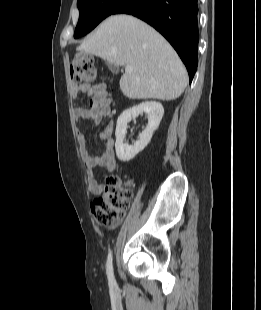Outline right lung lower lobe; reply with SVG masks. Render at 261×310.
<instances>
[{
	"label": "right lung lower lobe",
	"instance_id": "right-lung-lower-lobe-1",
	"mask_svg": "<svg viewBox=\"0 0 261 310\" xmlns=\"http://www.w3.org/2000/svg\"><path fill=\"white\" fill-rule=\"evenodd\" d=\"M197 0H126L112 14L134 15L159 31L184 62L189 82L198 64Z\"/></svg>",
	"mask_w": 261,
	"mask_h": 310
}]
</instances>
